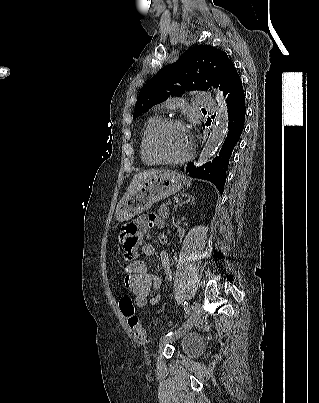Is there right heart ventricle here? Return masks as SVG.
Returning <instances> with one entry per match:
<instances>
[{"label": "right heart ventricle", "mask_w": 319, "mask_h": 403, "mask_svg": "<svg viewBox=\"0 0 319 403\" xmlns=\"http://www.w3.org/2000/svg\"><path fill=\"white\" fill-rule=\"evenodd\" d=\"M163 120V116L160 113H155L147 118L145 121L140 136V155L144 164L157 165L159 162L151 155L149 151V139L153 130Z\"/></svg>", "instance_id": "e07e8e85"}]
</instances>
